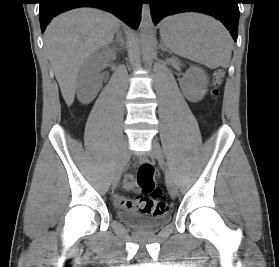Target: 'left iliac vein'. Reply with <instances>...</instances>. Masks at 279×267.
Here are the masks:
<instances>
[{"instance_id":"obj_1","label":"left iliac vein","mask_w":279,"mask_h":267,"mask_svg":"<svg viewBox=\"0 0 279 267\" xmlns=\"http://www.w3.org/2000/svg\"><path fill=\"white\" fill-rule=\"evenodd\" d=\"M151 155L156 160H158L160 164L164 165L162 148L155 139L152 141ZM165 175H166V184H167L169 194L171 195V197L174 198V197H176L177 192H178L177 185H176L171 173L167 169L165 171Z\"/></svg>"}]
</instances>
